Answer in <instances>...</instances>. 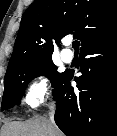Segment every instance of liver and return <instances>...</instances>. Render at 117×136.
<instances>
[{
    "mask_svg": "<svg viewBox=\"0 0 117 136\" xmlns=\"http://www.w3.org/2000/svg\"><path fill=\"white\" fill-rule=\"evenodd\" d=\"M3 136H63L58 128L43 117L25 122H9L3 127Z\"/></svg>",
    "mask_w": 117,
    "mask_h": 136,
    "instance_id": "liver-1",
    "label": "liver"
}]
</instances>
